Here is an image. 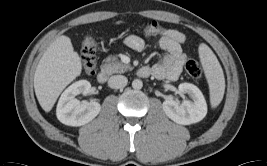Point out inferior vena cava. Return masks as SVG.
Instances as JSON below:
<instances>
[{"instance_id": "inferior-vena-cava-1", "label": "inferior vena cava", "mask_w": 267, "mask_h": 166, "mask_svg": "<svg viewBox=\"0 0 267 166\" xmlns=\"http://www.w3.org/2000/svg\"><path fill=\"white\" fill-rule=\"evenodd\" d=\"M128 79L123 75L111 76L108 80L109 87L113 89L124 88L127 85Z\"/></svg>"}]
</instances>
